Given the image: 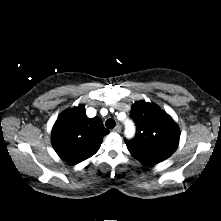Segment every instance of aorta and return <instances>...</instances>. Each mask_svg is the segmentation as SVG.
Returning <instances> with one entry per match:
<instances>
[{
    "mask_svg": "<svg viewBox=\"0 0 221 221\" xmlns=\"http://www.w3.org/2000/svg\"><path fill=\"white\" fill-rule=\"evenodd\" d=\"M125 127H126L125 135L129 138L132 137L134 135V131H135L133 123L129 120H126L125 121Z\"/></svg>",
    "mask_w": 221,
    "mask_h": 221,
    "instance_id": "obj_1",
    "label": "aorta"
}]
</instances>
